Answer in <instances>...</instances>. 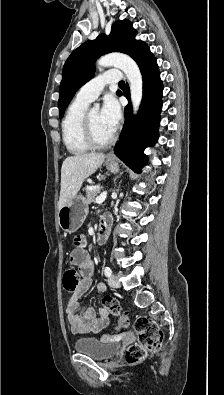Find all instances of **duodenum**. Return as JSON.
I'll use <instances>...</instances> for the list:
<instances>
[{"instance_id":"duodenum-1","label":"duodenum","mask_w":224,"mask_h":395,"mask_svg":"<svg viewBox=\"0 0 224 395\" xmlns=\"http://www.w3.org/2000/svg\"><path fill=\"white\" fill-rule=\"evenodd\" d=\"M111 226H112V217L109 215H104L100 221L98 231H97V244L98 245H104L111 232Z\"/></svg>"}]
</instances>
